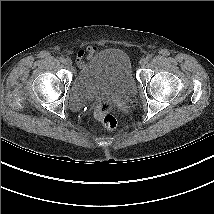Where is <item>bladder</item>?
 Returning a JSON list of instances; mask_svg holds the SVG:
<instances>
[{"instance_id": "31cf9c89", "label": "bladder", "mask_w": 214, "mask_h": 214, "mask_svg": "<svg viewBox=\"0 0 214 214\" xmlns=\"http://www.w3.org/2000/svg\"><path fill=\"white\" fill-rule=\"evenodd\" d=\"M136 91L131 62L126 53L108 48L84 64L69 90L70 103H84L96 94L127 98Z\"/></svg>"}]
</instances>
